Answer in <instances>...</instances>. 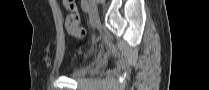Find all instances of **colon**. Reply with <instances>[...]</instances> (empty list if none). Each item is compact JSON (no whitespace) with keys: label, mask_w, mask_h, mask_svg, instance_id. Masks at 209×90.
<instances>
[{"label":"colon","mask_w":209,"mask_h":90,"mask_svg":"<svg viewBox=\"0 0 209 90\" xmlns=\"http://www.w3.org/2000/svg\"><path fill=\"white\" fill-rule=\"evenodd\" d=\"M64 3L68 10L70 11V14L68 15L65 27L68 33L75 37V38H82L85 36V28L81 25V18L80 15L77 12L76 4L74 0H64Z\"/></svg>","instance_id":"5ec220e1"}]
</instances>
